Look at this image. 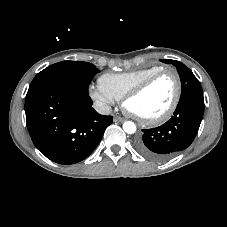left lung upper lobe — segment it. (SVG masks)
Returning <instances> with one entry per match:
<instances>
[{
    "label": "left lung upper lobe",
    "instance_id": "obj_1",
    "mask_svg": "<svg viewBox=\"0 0 227 227\" xmlns=\"http://www.w3.org/2000/svg\"><path fill=\"white\" fill-rule=\"evenodd\" d=\"M160 61L166 64L169 63L176 66L181 79V86H182L180 98L190 94L203 95V91L199 81L194 76L192 71L188 67H186L183 63L176 60H171V59H165Z\"/></svg>",
    "mask_w": 227,
    "mask_h": 227
}]
</instances>
